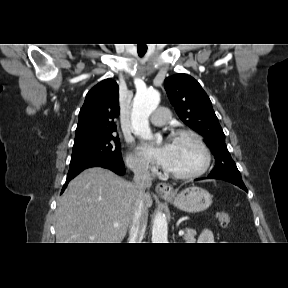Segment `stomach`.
<instances>
[{"label": "stomach", "instance_id": "obj_1", "mask_svg": "<svg viewBox=\"0 0 288 288\" xmlns=\"http://www.w3.org/2000/svg\"><path fill=\"white\" fill-rule=\"evenodd\" d=\"M163 198L171 201L178 209L196 213L206 210L212 204L210 193L197 186L188 187L177 195H164Z\"/></svg>", "mask_w": 288, "mask_h": 288}]
</instances>
